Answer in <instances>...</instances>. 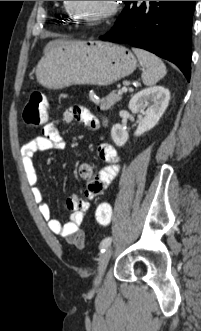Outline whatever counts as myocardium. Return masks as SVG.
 Wrapping results in <instances>:
<instances>
[{"mask_svg": "<svg viewBox=\"0 0 201 331\" xmlns=\"http://www.w3.org/2000/svg\"><path fill=\"white\" fill-rule=\"evenodd\" d=\"M66 6H67L68 11H70L71 9L73 10L74 16L76 18H78L79 20H83L84 22H86L88 24L103 23V22L109 20L111 17H113L119 9L118 1H109L108 7L106 8V10L104 12L96 15L95 17L87 18V17H84L75 12L73 5H72V1H66Z\"/></svg>", "mask_w": 201, "mask_h": 331, "instance_id": "obj_1", "label": "myocardium"}]
</instances>
